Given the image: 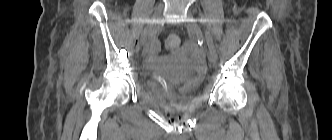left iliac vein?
<instances>
[{
	"label": "left iliac vein",
	"instance_id": "left-iliac-vein-1",
	"mask_svg": "<svg viewBox=\"0 0 332 140\" xmlns=\"http://www.w3.org/2000/svg\"><path fill=\"white\" fill-rule=\"evenodd\" d=\"M186 27L188 28V30L192 33H194L195 35H197L201 40H204L202 34L199 33V29L197 24L195 23V20L192 16V13L189 12L188 13V20L186 22ZM208 60L212 65H215L217 62V58L209 51L208 53Z\"/></svg>",
	"mask_w": 332,
	"mask_h": 140
}]
</instances>
